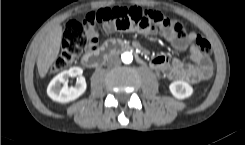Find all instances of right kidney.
Instances as JSON below:
<instances>
[{
	"label": "right kidney",
	"mask_w": 245,
	"mask_h": 145,
	"mask_svg": "<svg viewBox=\"0 0 245 145\" xmlns=\"http://www.w3.org/2000/svg\"><path fill=\"white\" fill-rule=\"evenodd\" d=\"M83 70L80 67H72L55 76L47 87L48 96L57 102L67 103L80 97L86 90V81L82 76ZM75 86L69 87L66 83L69 77H77ZM64 84V85H62Z\"/></svg>",
	"instance_id": "right-kidney-1"
}]
</instances>
